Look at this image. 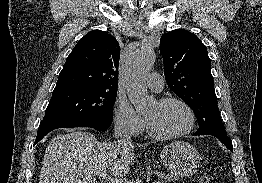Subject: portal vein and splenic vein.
I'll use <instances>...</instances> for the list:
<instances>
[{
	"label": "portal vein and splenic vein",
	"instance_id": "obj_1",
	"mask_svg": "<svg viewBox=\"0 0 262 183\" xmlns=\"http://www.w3.org/2000/svg\"><path fill=\"white\" fill-rule=\"evenodd\" d=\"M98 177L103 180L108 181L109 183H134L133 181L118 178V177H115V178L109 177L107 172L101 173Z\"/></svg>",
	"mask_w": 262,
	"mask_h": 183
}]
</instances>
